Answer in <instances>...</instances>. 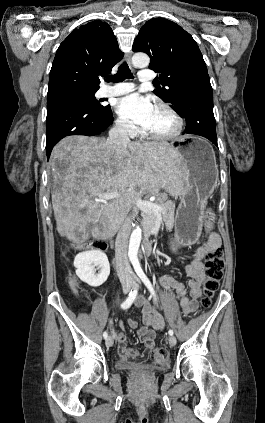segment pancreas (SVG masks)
Instances as JSON below:
<instances>
[{
	"mask_svg": "<svg viewBox=\"0 0 265 423\" xmlns=\"http://www.w3.org/2000/svg\"><path fill=\"white\" fill-rule=\"evenodd\" d=\"M155 203L162 207L161 216L167 229H171L174 226V204L172 201L167 200L166 194H159ZM157 216L154 213H143L142 215V226L146 237L151 235V229L154 226Z\"/></svg>",
	"mask_w": 265,
	"mask_h": 423,
	"instance_id": "obj_1",
	"label": "pancreas"
}]
</instances>
